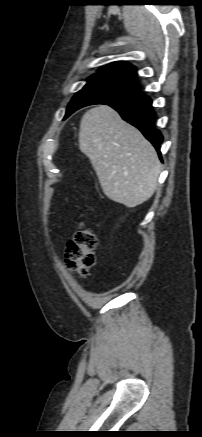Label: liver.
Segmentation results:
<instances>
[{
    "label": "liver",
    "mask_w": 202,
    "mask_h": 437,
    "mask_svg": "<svg viewBox=\"0 0 202 437\" xmlns=\"http://www.w3.org/2000/svg\"><path fill=\"white\" fill-rule=\"evenodd\" d=\"M79 148L90 159L104 194L129 208L155 192L161 164L152 144L107 105L82 117Z\"/></svg>",
    "instance_id": "obj_1"
}]
</instances>
